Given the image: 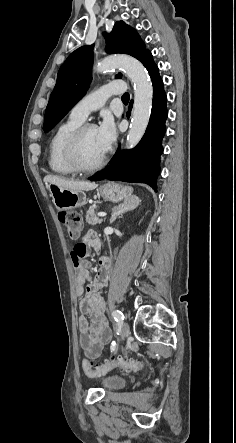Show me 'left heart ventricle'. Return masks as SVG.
I'll use <instances>...</instances> for the list:
<instances>
[{"label":"left heart ventricle","instance_id":"left-heart-ventricle-1","mask_svg":"<svg viewBox=\"0 0 236 443\" xmlns=\"http://www.w3.org/2000/svg\"><path fill=\"white\" fill-rule=\"evenodd\" d=\"M104 153L97 129H88L79 145L78 155L81 163L85 166L93 165Z\"/></svg>","mask_w":236,"mask_h":443}]
</instances>
